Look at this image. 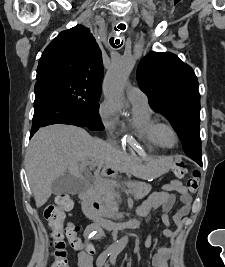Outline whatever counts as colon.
<instances>
[{"label": "colon", "instance_id": "colon-1", "mask_svg": "<svg viewBox=\"0 0 225 267\" xmlns=\"http://www.w3.org/2000/svg\"><path fill=\"white\" fill-rule=\"evenodd\" d=\"M172 171L177 177L184 178L187 172L186 162L180 157H175ZM199 176V172L194 171L192 177L187 181V187L192 193L199 187ZM71 206V200L63 195L58 198L57 205H48L44 211V216L51 226L50 247L53 257L51 267H70L66 239L75 250L88 248V245L84 244L78 235L80 229L78 225L69 222L65 227L63 226L64 210L70 209Z\"/></svg>", "mask_w": 225, "mask_h": 267}]
</instances>
